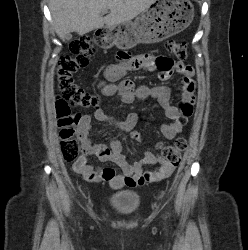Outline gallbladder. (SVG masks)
Returning <instances> with one entry per match:
<instances>
[{"mask_svg": "<svg viewBox=\"0 0 248 250\" xmlns=\"http://www.w3.org/2000/svg\"><path fill=\"white\" fill-rule=\"evenodd\" d=\"M71 38H72V35L70 33L65 36L66 40H70Z\"/></svg>", "mask_w": 248, "mask_h": 250, "instance_id": "bac80fb5", "label": "gallbladder"}]
</instances>
